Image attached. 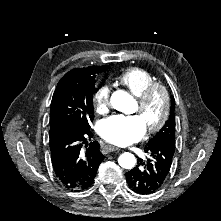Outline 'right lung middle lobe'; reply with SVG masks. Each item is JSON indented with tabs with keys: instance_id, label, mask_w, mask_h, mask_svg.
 Listing matches in <instances>:
<instances>
[{
	"instance_id": "right-lung-middle-lobe-1",
	"label": "right lung middle lobe",
	"mask_w": 221,
	"mask_h": 221,
	"mask_svg": "<svg viewBox=\"0 0 221 221\" xmlns=\"http://www.w3.org/2000/svg\"><path fill=\"white\" fill-rule=\"evenodd\" d=\"M108 66L93 70H71L60 79L50 109V135L65 128L85 130L93 120L95 77Z\"/></svg>"
}]
</instances>
